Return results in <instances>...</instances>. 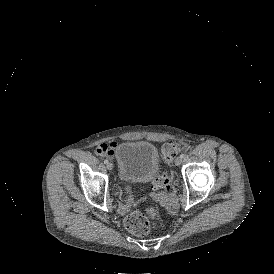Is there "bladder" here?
<instances>
[{
    "label": "bladder",
    "instance_id": "obj_1",
    "mask_svg": "<svg viewBox=\"0 0 274 274\" xmlns=\"http://www.w3.org/2000/svg\"><path fill=\"white\" fill-rule=\"evenodd\" d=\"M116 178L141 181L155 175L161 168L156 144L146 140H126L114 150Z\"/></svg>",
    "mask_w": 274,
    "mask_h": 274
}]
</instances>
